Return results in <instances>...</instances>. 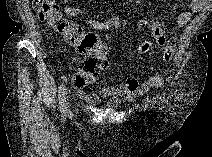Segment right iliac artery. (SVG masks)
Here are the masks:
<instances>
[{"label": "right iliac artery", "instance_id": "obj_1", "mask_svg": "<svg viewBox=\"0 0 212 157\" xmlns=\"http://www.w3.org/2000/svg\"><path fill=\"white\" fill-rule=\"evenodd\" d=\"M59 109L61 113L66 111V97H65V85L61 84L59 87Z\"/></svg>", "mask_w": 212, "mask_h": 157}]
</instances>
